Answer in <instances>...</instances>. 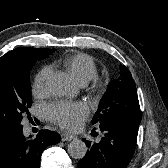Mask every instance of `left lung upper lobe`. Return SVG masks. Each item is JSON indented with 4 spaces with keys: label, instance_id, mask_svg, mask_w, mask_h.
<instances>
[{
    "label": "left lung upper lobe",
    "instance_id": "1",
    "mask_svg": "<svg viewBox=\"0 0 168 168\" xmlns=\"http://www.w3.org/2000/svg\"><path fill=\"white\" fill-rule=\"evenodd\" d=\"M116 120H124L134 126H139L141 121L136 85L124 65H120L119 78L109 83L92 123L102 125Z\"/></svg>",
    "mask_w": 168,
    "mask_h": 168
}]
</instances>
